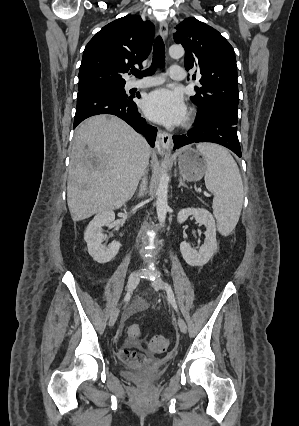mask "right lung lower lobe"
I'll list each match as a JSON object with an SVG mask.
<instances>
[{
	"instance_id": "right-lung-lower-lobe-1",
	"label": "right lung lower lobe",
	"mask_w": 299,
	"mask_h": 426,
	"mask_svg": "<svg viewBox=\"0 0 299 426\" xmlns=\"http://www.w3.org/2000/svg\"><path fill=\"white\" fill-rule=\"evenodd\" d=\"M135 96L125 97L117 93L100 89H82L77 95V107L74 128L84 119L98 114H113L142 133L151 147H154L157 129L146 124L140 117Z\"/></svg>"
}]
</instances>
